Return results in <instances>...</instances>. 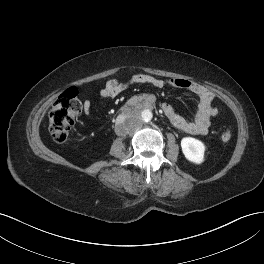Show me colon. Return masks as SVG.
<instances>
[{
  "mask_svg": "<svg viewBox=\"0 0 264 264\" xmlns=\"http://www.w3.org/2000/svg\"><path fill=\"white\" fill-rule=\"evenodd\" d=\"M81 112V104L74 88L64 91L52 105L49 112V132L52 138L63 143L68 139L71 128L76 118ZM218 109L215 108V114ZM232 137L230 128L225 129L221 134V139L228 142Z\"/></svg>",
  "mask_w": 264,
  "mask_h": 264,
  "instance_id": "1",
  "label": "colon"
}]
</instances>
